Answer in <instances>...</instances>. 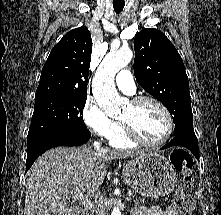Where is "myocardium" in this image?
I'll return each instance as SVG.
<instances>
[{
    "label": "myocardium",
    "mask_w": 221,
    "mask_h": 215,
    "mask_svg": "<svg viewBox=\"0 0 221 215\" xmlns=\"http://www.w3.org/2000/svg\"><path fill=\"white\" fill-rule=\"evenodd\" d=\"M146 101L152 102L155 105H157L161 109V111L163 112V114L166 118V122H167L166 133L159 141L148 142V141L144 140L137 133V131L134 129L133 125L128 121L121 119V124L123 126L126 136L133 143L143 146V147H147V148H157V147L164 145L170 139V137L174 131V120H173L172 114L169 111V109L167 108V106L162 101L157 99L156 97H153L150 95H140V96L133 98L130 103L135 106V105H138V104L146 102Z\"/></svg>",
    "instance_id": "1"
}]
</instances>
